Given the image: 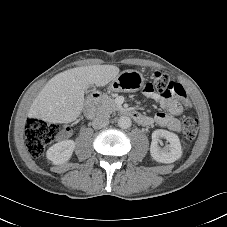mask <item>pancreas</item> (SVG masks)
I'll list each match as a JSON object with an SVG mask.
<instances>
[{
  "mask_svg": "<svg viewBox=\"0 0 227 227\" xmlns=\"http://www.w3.org/2000/svg\"><path fill=\"white\" fill-rule=\"evenodd\" d=\"M119 108L120 106L115 103V100L113 98L104 94L99 99L95 110L98 115L109 116L111 113L115 112Z\"/></svg>",
  "mask_w": 227,
  "mask_h": 227,
  "instance_id": "1",
  "label": "pancreas"
}]
</instances>
